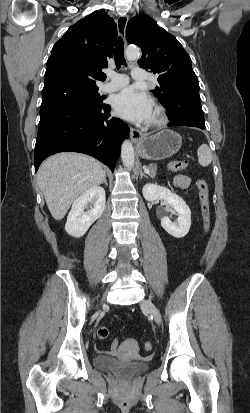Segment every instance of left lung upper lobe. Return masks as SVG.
Returning a JSON list of instances; mask_svg holds the SVG:
<instances>
[{
	"label": "left lung upper lobe",
	"instance_id": "left-lung-upper-lobe-1",
	"mask_svg": "<svg viewBox=\"0 0 250 413\" xmlns=\"http://www.w3.org/2000/svg\"><path fill=\"white\" fill-rule=\"evenodd\" d=\"M126 38L142 50L139 66L158 75L159 86L152 92L164 107L178 96L186 98L199 94L190 56L180 42L152 18L146 15L132 18L126 28Z\"/></svg>",
	"mask_w": 250,
	"mask_h": 413
}]
</instances>
